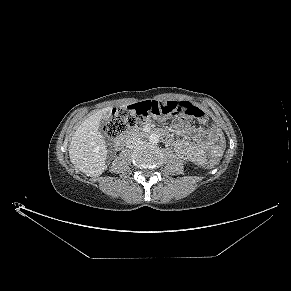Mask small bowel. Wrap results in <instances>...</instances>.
Here are the masks:
<instances>
[{
    "label": "small bowel",
    "mask_w": 291,
    "mask_h": 291,
    "mask_svg": "<svg viewBox=\"0 0 291 291\" xmlns=\"http://www.w3.org/2000/svg\"><path fill=\"white\" fill-rule=\"evenodd\" d=\"M174 130L181 136L189 131V125L185 119H177L173 122ZM177 154L185 161L204 166L207 162V154L210 159H218L224 149V138L220 129L211 127L206 131L194 135L193 141L179 139L174 142Z\"/></svg>",
    "instance_id": "obj_1"
}]
</instances>
